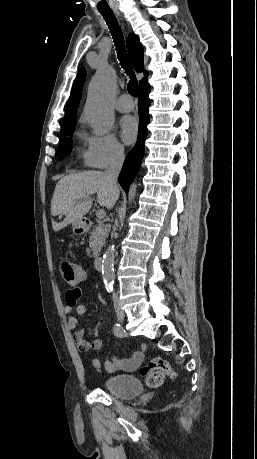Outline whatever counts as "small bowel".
<instances>
[{
	"instance_id": "c3829d8e",
	"label": "small bowel",
	"mask_w": 257,
	"mask_h": 459,
	"mask_svg": "<svg viewBox=\"0 0 257 459\" xmlns=\"http://www.w3.org/2000/svg\"><path fill=\"white\" fill-rule=\"evenodd\" d=\"M81 294L82 289L79 287H71L66 291V313H71L74 308L77 315H84L86 313V305L78 303ZM68 327L73 333V340L79 351L86 352L92 348L96 351L103 352L105 359L104 368L109 373H114L117 371H134L143 361L144 351L147 348L145 344H142L140 349L134 351L129 358L112 357L108 352L104 351L102 340L94 339L92 342H88L85 339L84 329L81 327L77 316L70 315L68 317ZM91 366L94 369H98L101 366L100 360L98 358H93L91 360Z\"/></svg>"
}]
</instances>
